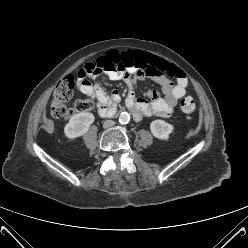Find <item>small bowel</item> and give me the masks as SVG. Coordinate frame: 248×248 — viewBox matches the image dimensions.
Instances as JSON below:
<instances>
[{
    "instance_id": "1",
    "label": "small bowel",
    "mask_w": 248,
    "mask_h": 248,
    "mask_svg": "<svg viewBox=\"0 0 248 248\" xmlns=\"http://www.w3.org/2000/svg\"><path fill=\"white\" fill-rule=\"evenodd\" d=\"M117 52L131 63L128 72L108 71L107 77L110 80H124L129 86V93L126 98V105L131 111L135 120H140L143 116L169 117L187 88V78L182 70L167 61L143 51ZM111 53V52H110ZM86 67L80 70L77 83V90L93 99L97 103V112L101 117L113 115L120 95L117 90L108 94L99 84H92L86 76ZM169 77L176 79L174 83ZM145 78H150L161 85L164 97H159L156 90H149L145 98L136 97L137 82Z\"/></svg>"
}]
</instances>
